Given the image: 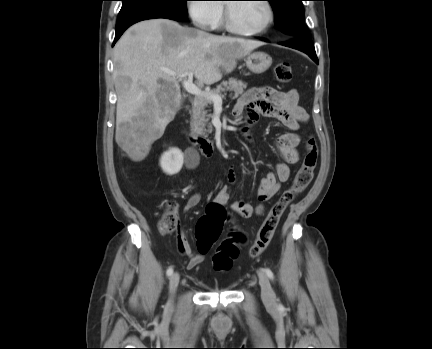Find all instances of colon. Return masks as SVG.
Wrapping results in <instances>:
<instances>
[{
  "label": "colon",
  "mask_w": 432,
  "mask_h": 349,
  "mask_svg": "<svg viewBox=\"0 0 432 349\" xmlns=\"http://www.w3.org/2000/svg\"><path fill=\"white\" fill-rule=\"evenodd\" d=\"M275 77L279 82H289L292 79V68L288 62H280L274 68ZM318 161V148L313 138H308L305 146L303 162L298 169L292 184L285 189L278 200L270 208L264 222L249 249V255L257 258L267 248L274 237L282 215L290 203L302 193L311 183ZM226 217L223 206L212 203L205 216L201 217L196 226L197 247L201 253H207L218 239L222 222ZM176 205L169 202L163 212L159 227L163 233H170L177 227ZM239 254L235 238L222 241L213 254V266L217 271L231 269Z\"/></svg>",
  "instance_id": "obj_1"
}]
</instances>
